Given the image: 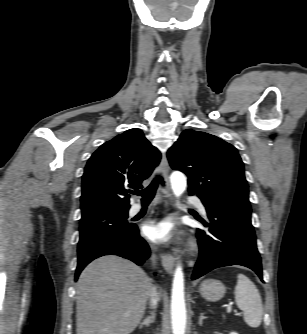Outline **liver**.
<instances>
[{
	"label": "liver",
	"instance_id": "liver-1",
	"mask_svg": "<svg viewBox=\"0 0 307 334\" xmlns=\"http://www.w3.org/2000/svg\"><path fill=\"white\" fill-rule=\"evenodd\" d=\"M152 283L133 262L102 256L85 267L76 284L77 334H130L140 323Z\"/></svg>",
	"mask_w": 307,
	"mask_h": 334
}]
</instances>
